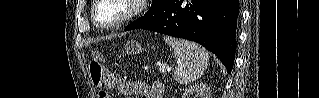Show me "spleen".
<instances>
[{
	"mask_svg": "<svg viewBox=\"0 0 319 98\" xmlns=\"http://www.w3.org/2000/svg\"><path fill=\"white\" fill-rule=\"evenodd\" d=\"M165 42L171 46L177 58L175 79L180 84H189L196 81L205 72L209 54L204 48L194 42L164 37Z\"/></svg>",
	"mask_w": 319,
	"mask_h": 98,
	"instance_id": "1",
	"label": "spleen"
}]
</instances>
